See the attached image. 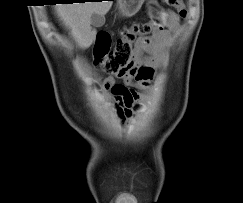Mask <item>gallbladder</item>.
Returning a JSON list of instances; mask_svg holds the SVG:
<instances>
[{"label": "gallbladder", "mask_w": 243, "mask_h": 203, "mask_svg": "<svg viewBox=\"0 0 243 203\" xmlns=\"http://www.w3.org/2000/svg\"><path fill=\"white\" fill-rule=\"evenodd\" d=\"M91 24L95 27H101L105 24L104 15L93 13L91 16Z\"/></svg>", "instance_id": "obj_1"}]
</instances>
